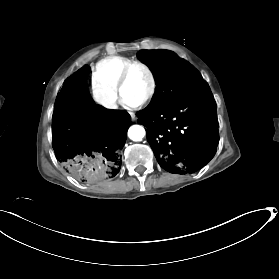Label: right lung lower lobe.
I'll use <instances>...</instances> for the list:
<instances>
[{"instance_id":"right-lung-lower-lobe-1","label":"right lung lower lobe","mask_w":279,"mask_h":279,"mask_svg":"<svg viewBox=\"0 0 279 279\" xmlns=\"http://www.w3.org/2000/svg\"><path fill=\"white\" fill-rule=\"evenodd\" d=\"M87 69L64 82L52 116V138L61 166L77 180L96 185L120 171L130 116L95 104L86 86Z\"/></svg>"}]
</instances>
